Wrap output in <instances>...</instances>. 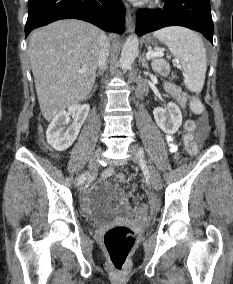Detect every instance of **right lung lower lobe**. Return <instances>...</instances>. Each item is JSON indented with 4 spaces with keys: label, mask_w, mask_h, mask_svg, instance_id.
Here are the masks:
<instances>
[{
    "label": "right lung lower lobe",
    "mask_w": 233,
    "mask_h": 284,
    "mask_svg": "<svg viewBox=\"0 0 233 284\" xmlns=\"http://www.w3.org/2000/svg\"><path fill=\"white\" fill-rule=\"evenodd\" d=\"M81 19L122 34L125 18L121 0H29L25 36L35 28L60 19Z\"/></svg>",
    "instance_id": "right-lung-lower-lobe-1"
}]
</instances>
